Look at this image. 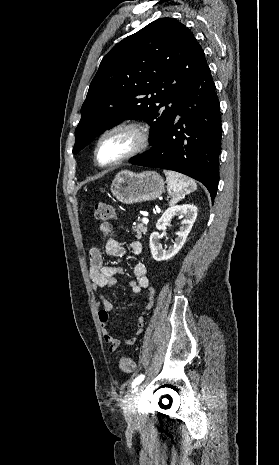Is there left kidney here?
<instances>
[{"label":"left kidney","instance_id":"left-kidney-1","mask_svg":"<svg viewBox=\"0 0 279 465\" xmlns=\"http://www.w3.org/2000/svg\"><path fill=\"white\" fill-rule=\"evenodd\" d=\"M198 209L193 204H183L169 207L156 223L158 230H164L172 218L179 217L184 220L181 222V227L177 232V238L172 246L167 250L163 249L159 240L161 235L158 232H153L150 235V249L154 260L165 261L175 256L186 242L187 236L190 233L192 226L196 220Z\"/></svg>","mask_w":279,"mask_h":465}]
</instances>
